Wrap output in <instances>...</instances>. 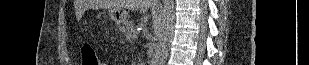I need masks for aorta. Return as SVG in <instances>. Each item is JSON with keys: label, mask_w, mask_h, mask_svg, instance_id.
<instances>
[{"label": "aorta", "mask_w": 309, "mask_h": 65, "mask_svg": "<svg viewBox=\"0 0 309 65\" xmlns=\"http://www.w3.org/2000/svg\"><path fill=\"white\" fill-rule=\"evenodd\" d=\"M174 0H163V9L156 23L157 44L151 65H164L170 51L174 34Z\"/></svg>", "instance_id": "762f6f07"}]
</instances>
